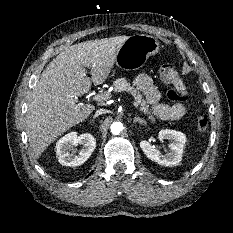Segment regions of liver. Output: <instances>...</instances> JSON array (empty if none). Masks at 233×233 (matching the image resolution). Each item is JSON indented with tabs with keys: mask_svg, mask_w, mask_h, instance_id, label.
Wrapping results in <instances>:
<instances>
[{
	"mask_svg": "<svg viewBox=\"0 0 233 233\" xmlns=\"http://www.w3.org/2000/svg\"><path fill=\"white\" fill-rule=\"evenodd\" d=\"M128 37L115 36L72 45L45 68L33 88L26 117L34 158L93 112V104L76 103L75 98L86 94L92 82L99 85L108 78L117 52ZM83 67L90 69L91 78Z\"/></svg>",
	"mask_w": 233,
	"mask_h": 233,
	"instance_id": "obj_1",
	"label": "liver"
}]
</instances>
